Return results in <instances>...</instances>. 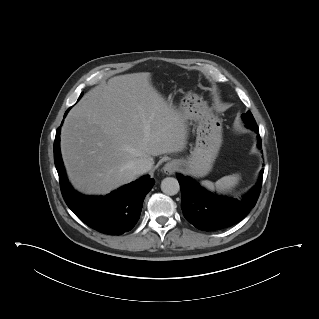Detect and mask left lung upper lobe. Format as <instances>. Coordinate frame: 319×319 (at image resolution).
Listing matches in <instances>:
<instances>
[{
	"mask_svg": "<svg viewBox=\"0 0 319 319\" xmlns=\"http://www.w3.org/2000/svg\"><path fill=\"white\" fill-rule=\"evenodd\" d=\"M242 119L247 125H257L255 119L250 111L242 114Z\"/></svg>",
	"mask_w": 319,
	"mask_h": 319,
	"instance_id": "1",
	"label": "left lung upper lobe"
}]
</instances>
